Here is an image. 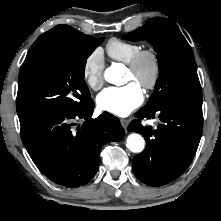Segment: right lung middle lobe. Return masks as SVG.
Instances as JSON below:
<instances>
[{
    "label": "right lung middle lobe",
    "instance_id": "dd1d6c3e",
    "mask_svg": "<svg viewBox=\"0 0 221 221\" xmlns=\"http://www.w3.org/2000/svg\"><path fill=\"white\" fill-rule=\"evenodd\" d=\"M86 36L47 48L21 66L16 108L20 123L38 115L78 111L91 100L87 58L103 41Z\"/></svg>",
    "mask_w": 221,
    "mask_h": 221
}]
</instances>
